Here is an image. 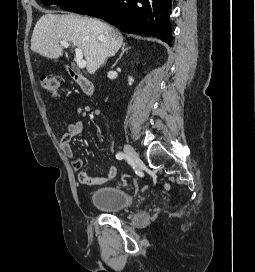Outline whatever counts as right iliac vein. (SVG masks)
I'll use <instances>...</instances> for the list:
<instances>
[{"instance_id":"obj_1","label":"right iliac vein","mask_w":255,"mask_h":272,"mask_svg":"<svg viewBox=\"0 0 255 272\" xmlns=\"http://www.w3.org/2000/svg\"><path fill=\"white\" fill-rule=\"evenodd\" d=\"M124 153L128 157V159L131 161H138L139 159L135 149L129 144H126L124 146Z\"/></svg>"}]
</instances>
